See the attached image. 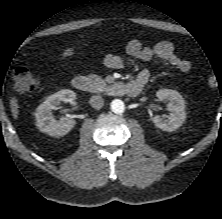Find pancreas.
<instances>
[{
    "instance_id": "obj_1",
    "label": "pancreas",
    "mask_w": 222,
    "mask_h": 219,
    "mask_svg": "<svg viewBox=\"0 0 222 219\" xmlns=\"http://www.w3.org/2000/svg\"><path fill=\"white\" fill-rule=\"evenodd\" d=\"M89 88L88 90L93 93H99L106 89V82L96 74H90L88 76Z\"/></svg>"
}]
</instances>
